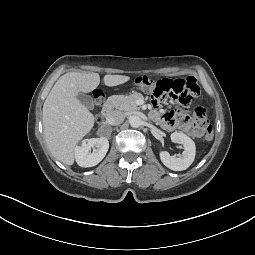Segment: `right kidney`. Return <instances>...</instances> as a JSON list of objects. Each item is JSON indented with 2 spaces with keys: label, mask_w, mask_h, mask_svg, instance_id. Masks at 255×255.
Returning <instances> with one entry per match:
<instances>
[{
  "label": "right kidney",
  "mask_w": 255,
  "mask_h": 255,
  "mask_svg": "<svg viewBox=\"0 0 255 255\" xmlns=\"http://www.w3.org/2000/svg\"><path fill=\"white\" fill-rule=\"evenodd\" d=\"M108 149L109 142L104 137L83 140L75 147L76 162L81 167H93L102 161Z\"/></svg>",
  "instance_id": "right-kidney-1"
}]
</instances>
